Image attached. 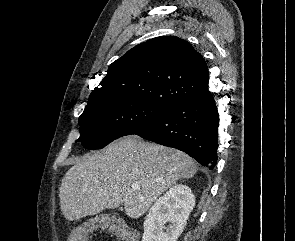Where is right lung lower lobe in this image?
Returning a JSON list of instances; mask_svg holds the SVG:
<instances>
[{"instance_id": "1", "label": "right lung lower lobe", "mask_w": 295, "mask_h": 241, "mask_svg": "<svg viewBox=\"0 0 295 241\" xmlns=\"http://www.w3.org/2000/svg\"><path fill=\"white\" fill-rule=\"evenodd\" d=\"M219 114L212 94L183 98L161 114L131 130L158 144L186 152L200 164L213 169L217 162Z\"/></svg>"}]
</instances>
